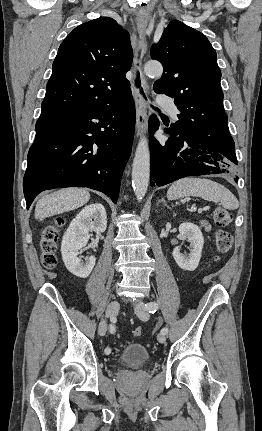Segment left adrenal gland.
Masks as SVG:
<instances>
[{"instance_id": "left-adrenal-gland-1", "label": "left adrenal gland", "mask_w": 262, "mask_h": 431, "mask_svg": "<svg viewBox=\"0 0 262 431\" xmlns=\"http://www.w3.org/2000/svg\"><path fill=\"white\" fill-rule=\"evenodd\" d=\"M159 203H163L164 204V206H166L167 208H170L168 205H167V203H166V201L164 200V198H162L161 200H159L158 201V204Z\"/></svg>"}]
</instances>
